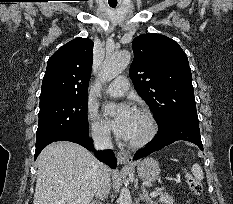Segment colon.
Segmentation results:
<instances>
[{
    "instance_id": "5ec220e1",
    "label": "colon",
    "mask_w": 233,
    "mask_h": 204,
    "mask_svg": "<svg viewBox=\"0 0 233 204\" xmlns=\"http://www.w3.org/2000/svg\"><path fill=\"white\" fill-rule=\"evenodd\" d=\"M185 177L191 192L198 196L201 195L203 192V186L201 182L189 172H185Z\"/></svg>"
}]
</instances>
